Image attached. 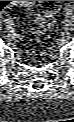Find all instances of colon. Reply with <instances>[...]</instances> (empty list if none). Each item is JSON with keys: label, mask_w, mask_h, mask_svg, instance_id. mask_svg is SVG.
<instances>
[{"label": "colon", "mask_w": 74, "mask_h": 122, "mask_svg": "<svg viewBox=\"0 0 74 122\" xmlns=\"http://www.w3.org/2000/svg\"><path fill=\"white\" fill-rule=\"evenodd\" d=\"M47 29H48V26L46 25L44 18H40L33 25V31L37 39H42L46 35Z\"/></svg>", "instance_id": "1"}]
</instances>
